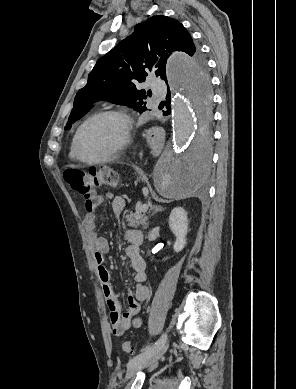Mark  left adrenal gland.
<instances>
[{"label":"left adrenal gland","instance_id":"obj_1","mask_svg":"<svg viewBox=\"0 0 296 389\" xmlns=\"http://www.w3.org/2000/svg\"><path fill=\"white\" fill-rule=\"evenodd\" d=\"M151 209H152V213L150 216H153L155 213L163 210V208L161 206H157V205L152 206ZM147 220H148V218H147ZM147 227H148V222H146L144 229H146Z\"/></svg>","mask_w":296,"mask_h":389}]
</instances>
